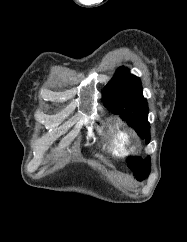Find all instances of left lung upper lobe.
<instances>
[{
  "instance_id": "left-lung-upper-lobe-1",
  "label": "left lung upper lobe",
  "mask_w": 187,
  "mask_h": 242,
  "mask_svg": "<svg viewBox=\"0 0 187 242\" xmlns=\"http://www.w3.org/2000/svg\"><path fill=\"white\" fill-rule=\"evenodd\" d=\"M103 102L113 113L120 114L142 139L149 142L148 103L142 93L140 78L130 74L126 67H120L103 89ZM127 164L138 180H143L150 173L149 156L146 159L128 158Z\"/></svg>"
}]
</instances>
